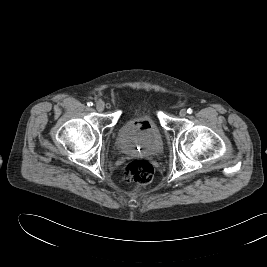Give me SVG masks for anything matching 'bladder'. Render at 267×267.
<instances>
[{"label":"bladder","mask_w":267,"mask_h":267,"mask_svg":"<svg viewBox=\"0 0 267 267\" xmlns=\"http://www.w3.org/2000/svg\"><path fill=\"white\" fill-rule=\"evenodd\" d=\"M151 129L142 131L135 118H126L119 126L116 138L117 149L126 155L140 154L148 157L159 156L164 147L161 131L151 115H147Z\"/></svg>","instance_id":"1"}]
</instances>
